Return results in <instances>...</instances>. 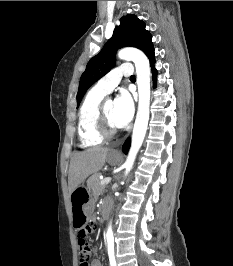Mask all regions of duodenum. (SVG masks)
<instances>
[{"instance_id":"obj_1","label":"duodenum","mask_w":233,"mask_h":266,"mask_svg":"<svg viewBox=\"0 0 233 266\" xmlns=\"http://www.w3.org/2000/svg\"><path fill=\"white\" fill-rule=\"evenodd\" d=\"M108 210H109L108 205L104 204L102 206V210H101V215H102L103 218H105L107 216Z\"/></svg>"}]
</instances>
